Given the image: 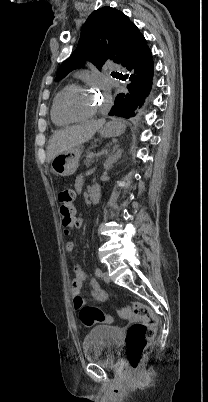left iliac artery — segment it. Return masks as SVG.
<instances>
[{
	"label": "left iliac artery",
	"instance_id": "obj_1",
	"mask_svg": "<svg viewBox=\"0 0 208 402\" xmlns=\"http://www.w3.org/2000/svg\"><path fill=\"white\" fill-rule=\"evenodd\" d=\"M95 274L97 277H101L102 276V271L100 268H96Z\"/></svg>",
	"mask_w": 208,
	"mask_h": 402
}]
</instances>
